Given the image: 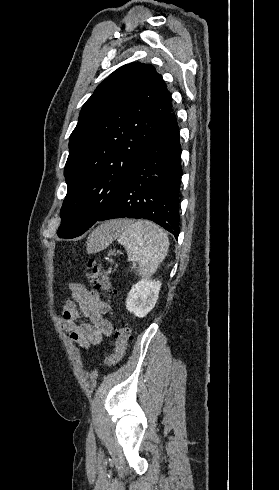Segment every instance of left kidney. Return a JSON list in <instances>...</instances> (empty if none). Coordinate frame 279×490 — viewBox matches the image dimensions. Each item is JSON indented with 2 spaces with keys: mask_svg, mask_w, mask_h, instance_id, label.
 Returning <instances> with one entry per match:
<instances>
[{
  "mask_svg": "<svg viewBox=\"0 0 279 490\" xmlns=\"http://www.w3.org/2000/svg\"><path fill=\"white\" fill-rule=\"evenodd\" d=\"M161 288V282L144 278L132 286L126 298V310L136 318H145L153 310Z\"/></svg>",
  "mask_w": 279,
  "mask_h": 490,
  "instance_id": "obj_1",
  "label": "left kidney"
}]
</instances>
